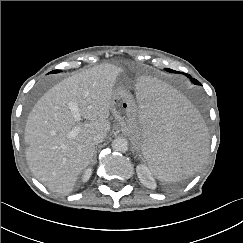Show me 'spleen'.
I'll return each mask as SVG.
<instances>
[{
	"mask_svg": "<svg viewBox=\"0 0 243 243\" xmlns=\"http://www.w3.org/2000/svg\"><path fill=\"white\" fill-rule=\"evenodd\" d=\"M136 148L161 182H176L197 171L207 152L201 116L176 92L151 76L134 84Z\"/></svg>",
	"mask_w": 243,
	"mask_h": 243,
	"instance_id": "3e777b00",
	"label": "spleen"
}]
</instances>
